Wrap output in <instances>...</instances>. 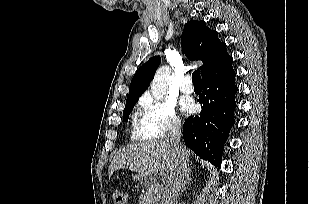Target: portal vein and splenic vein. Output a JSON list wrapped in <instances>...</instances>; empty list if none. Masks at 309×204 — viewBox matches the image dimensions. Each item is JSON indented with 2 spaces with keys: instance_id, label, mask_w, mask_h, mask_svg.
Segmentation results:
<instances>
[{
  "instance_id": "1",
  "label": "portal vein and splenic vein",
  "mask_w": 309,
  "mask_h": 204,
  "mask_svg": "<svg viewBox=\"0 0 309 204\" xmlns=\"http://www.w3.org/2000/svg\"><path fill=\"white\" fill-rule=\"evenodd\" d=\"M162 181L165 183L167 181V177H164Z\"/></svg>"
}]
</instances>
